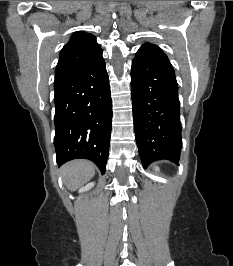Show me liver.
Returning a JSON list of instances; mask_svg holds the SVG:
<instances>
[{
  "label": "liver",
  "instance_id": "obj_1",
  "mask_svg": "<svg viewBox=\"0 0 233 266\" xmlns=\"http://www.w3.org/2000/svg\"><path fill=\"white\" fill-rule=\"evenodd\" d=\"M63 182L66 187L75 191L95 175V165L88 160H73L61 167Z\"/></svg>",
  "mask_w": 233,
  "mask_h": 266
}]
</instances>
